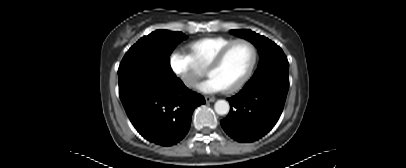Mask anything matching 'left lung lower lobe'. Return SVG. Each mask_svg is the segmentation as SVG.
I'll return each mask as SVG.
<instances>
[{
    "mask_svg": "<svg viewBox=\"0 0 406 168\" xmlns=\"http://www.w3.org/2000/svg\"><path fill=\"white\" fill-rule=\"evenodd\" d=\"M289 89V80L263 77L249 80L235 96L221 120L224 131L239 142H253L267 134L278 121Z\"/></svg>",
    "mask_w": 406,
    "mask_h": 168,
    "instance_id": "0a47b994",
    "label": "left lung lower lobe"
}]
</instances>
